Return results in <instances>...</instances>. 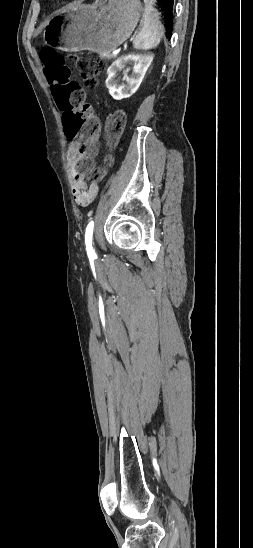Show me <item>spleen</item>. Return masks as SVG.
Returning <instances> with one entry per match:
<instances>
[{
	"instance_id": "obj_1",
	"label": "spleen",
	"mask_w": 253,
	"mask_h": 548,
	"mask_svg": "<svg viewBox=\"0 0 253 548\" xmlns=\"http://www.w3.org/2000/svg\"><path fill=\"white\" fill-rule=\"evenodd\" d=\"M154 0H144L145 9L141 21V29L133 40V46L138 50H149L157 47L164 34V27L159 20V12L153 7Z\"/></svg>"
}]
</instances>
